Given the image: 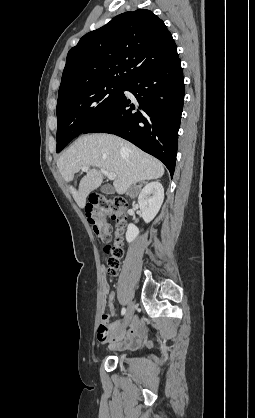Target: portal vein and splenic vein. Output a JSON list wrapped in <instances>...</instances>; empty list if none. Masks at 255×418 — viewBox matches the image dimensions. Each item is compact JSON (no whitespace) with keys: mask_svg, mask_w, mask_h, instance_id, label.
I'll list each match as a JSON object with an SVG mask.
<instances>
[{"mask_svg":"<svg viewBox=\"0 0 255 418\" xmlns=\"http://www.w3.org/2000/svg\"><path fill=\"white\" fill-rule=\"evenodd\" d=\"M89 166H84L81 168L82 171L87 172L89 170ZM100 171L107 176L108 179L110 180H115L116 179V175L114 173H109L108 171L104 170V169H100Z\"/></svg>","mask_w":255,"mask_h":418,"instance_id":"18ae733b","label":"portal vein and splenic vein"}]
</instances>
